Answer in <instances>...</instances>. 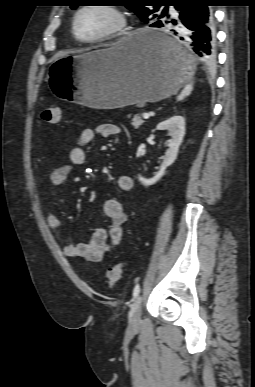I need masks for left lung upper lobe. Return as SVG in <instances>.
Returning a JSON list of instances; mask_svg holds the SVG:
<instances>
[{
	"instance_id": "5c2ea615",
	"label": "left lung upper lobe",
	"mask_w": 255,
	"mask_h": 387,
	"mask_svg": "<svg viewBox=\"0 0 255 387\" xmlns=\"http://www.w3.org/2000/svg\"><path fill=\"white\" fill-rule=\"evenodd\" d=\"M173 1L175 0H119V2L123 3L128 9L135 12L146 24H152L159 20L161 15L164 16L168 11V5ZM148 4L152 7H146ZM162 6H164V9L161 12L159 9ZM76 7V5L71 6L72 9H75Z\"/></svg>"
}]
</instances>
